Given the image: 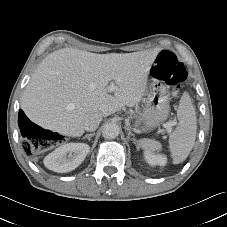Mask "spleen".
Segmentation results:
<instances>
[{"label":"spleen","mask_w":227,"mask_h":227,"mask_svg":"<svg viewBox=\"0 0 227 227\" xmlns=\"http://www.w3.org/2000/svg\"><path fill=\"white\" fill-rule=\"evenodd\" d=\"M178 125L169 138V149L174 164L183 162L190 154L196 139L197 118L190 96L184 92L177 110ZM137 144L147 152L160 151L158 141L141 139Z\"/></svg>","instance_id":"spleen-1"}]
</instances>
